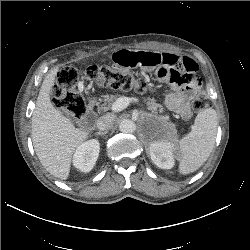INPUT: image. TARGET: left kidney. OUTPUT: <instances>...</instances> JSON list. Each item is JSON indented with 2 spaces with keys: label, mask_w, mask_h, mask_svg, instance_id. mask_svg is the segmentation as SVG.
<instances>
[{
  "label": "left kidney",
  "mask_w": 250,
  "mask_h": 250,
  "mask_svg": "<svg viewBox=\"0 0 250 250\" xmlns=\"http://www.w3.org/2000/svg\"><path fill=\"white\" fill-rule=\"evenodd\" d=\"M175 143L168 140L152 142L149 155L153 163L162 169H171L175 163Z\"/></svg>",
  "instance_id": "5707ae66"
}]
</instances>
